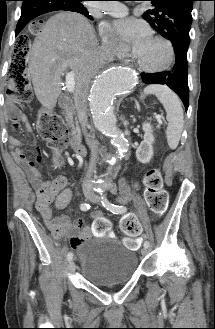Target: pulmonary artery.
<instances>
[{"instance_id":"1","label":"pulmonary artery","mask_w":215,"mask_h":329,"mask_svg":"<svg viewBox=\"0 0 215 329\" xmlns=\"http://www.w3.org/2000/svg\"><path fill=\"white\" fill-rule=\"evenodd\" d=\"M95 6L111 16L121 17L128 13V8L120 2H110L104 4H95Z\"/></svg>"}]
</instances>
